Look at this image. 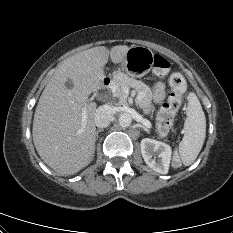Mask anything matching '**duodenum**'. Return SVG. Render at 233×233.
<instances>
[{
	"mask_svg": "<svg viewBox=\"0 0 233 233\" xmlns=\"http://www.w3.org/2000/svg\"><path fill=\"white\" fill-rule=\"evenodd\" d=\"M111 84V79L108 78V77H105L103 80H102V83H101V86L103 89H107Z\"/></svg>",
	"mask_w": 233,
	"mask_h": 233,
	"instance_id": "410a0bca",
	"label": "duodenum"
}]
</instances>
